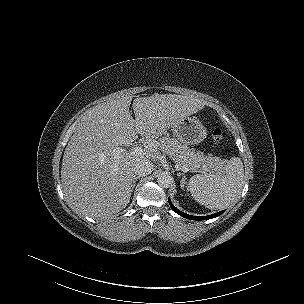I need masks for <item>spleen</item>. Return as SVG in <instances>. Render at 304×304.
Wrapping results in <instances>:
<instances>
[{"instance_id":"1","label":"spleen","mask_w":304,"mask_h":304,"mask_svg":"<svg viewBox=\"0 0 304 304\" xmlns=\"http://www.w3.org/2000/svg\"><path fill=\"white\" fill-rule=\"evenodd\" d=\"M243 185V162L233 157L219 173L194 175L189 180L188 190L199 204L209 209H222L234 202Z\"/></svg>"}]
</instances>
